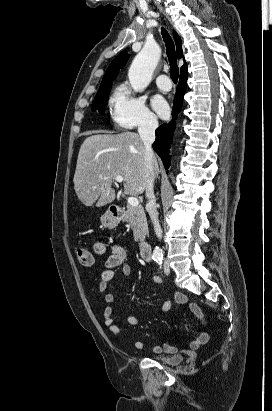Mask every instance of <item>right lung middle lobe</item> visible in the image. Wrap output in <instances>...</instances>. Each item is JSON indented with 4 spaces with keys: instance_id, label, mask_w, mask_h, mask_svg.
I'll list each match as a JSON object with an SVG mask.
<instances>
[{
    "instance_id": "obj_1",
    "label": "right lung middle lobe",
    "mask_w": 272,
    "mask_h": 411,
    "mask_svg": "<svg viewBox=\"0 0 272 411\" xmlns=\"http://www.w3.org/2000/svg\"><path fill=\"white\" fill-rule=\"evenodd\" d=\"M112 84L102 89H99L97 95L92 104V110H98L100 113H104L107 106L108 95L110 93Z\"/></svg>"
}]
</instances>
